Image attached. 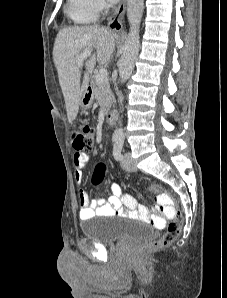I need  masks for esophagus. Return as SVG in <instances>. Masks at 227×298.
I'll return each mask as SVG.
<instances>
[{"label": "esophagus", "instance_id": "1", "mask_svg": "<svg viewBox=\"0 0 227 298\" xmlns=\"http://www.w3.org/2000/svg\"><path fill=\"white\" fill-rule=\"evenodd\" d=\"M126 2L127 0H122L117 9L115 10L114 14L110 17L108 21V27L111 30L119 31L122 29V19L126 9Z\"/></svg>", "mask_w": 227, "mask_h": 298}]
</instances>
